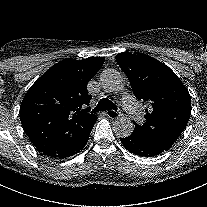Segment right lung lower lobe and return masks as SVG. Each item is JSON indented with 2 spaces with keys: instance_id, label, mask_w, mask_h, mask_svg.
<instances>
[{
  "instance_id": "1",
  "label": "right lung lower lobe",
  "mask_w": 207,
  "mask_h": 207,
  "mask_svg": "<svg viewBox=\"0 0 207 207\" xmlns=\"http://www.w3.org/2000/svg\"><path fill=\"white\" fill-rule=\"evenodd\" d=\"M95 122L93 124H91V126L87 130V132L76 143H74L72 146L68 147L64 152L57 154V155H54V156H50V157L62 159V158H66V157H69V156H72V155L78 153L86 145L88 138H89V135H90V132H91Z\"/></svg>"
}]
</instances>
